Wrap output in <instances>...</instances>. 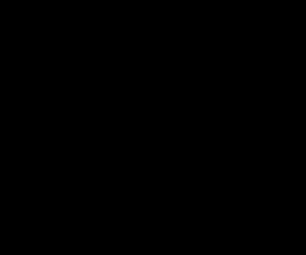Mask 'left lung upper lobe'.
Instances as JSON below:
<instances>
[{"mask_svg":"<svg viewBox=\"0 0 306 255\" xmlns=\"http://www.w3.org/2000/svg\"><path fill=\"white\" fill-rule=\"evenodd\" d=\"M192 85L197 100L182 139L184 173L212 179L222 185L233 122L221 90L213 80L194 74Z\"/></svg>","mask_w":306,"mask_h":255,"instance_id":"obj_1","label":"left lung upper lobe"}]
</instances>
